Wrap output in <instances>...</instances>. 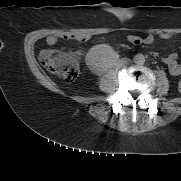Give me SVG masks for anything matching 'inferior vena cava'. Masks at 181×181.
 Here are the masks:
<instances>
[{"label":"inferior vena cava","instance_id":"obj_1","mask_svg":"<svg viewBox=\"0 0 181 181\" xmlns=\"http://www.w3.org/2000/svg\"><path fill=\"white\" fill-rule=\"evenodd\" d=\"M129 62V59H127V58H124L123 60H122V63L123 64H127Z\"/></svg>","mask_w":181,"mask_h":181}]
</instances>
